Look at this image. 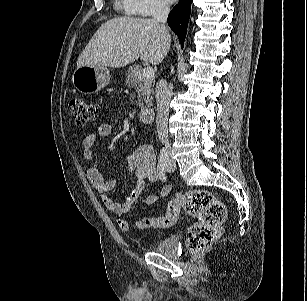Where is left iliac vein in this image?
Returning <instances> with one entry per match:
<instances>
[{"instance_id": "4c4485c4", "label": "left iliac vein", "mask_w": 307, "mask_h": 301, "mask_svg": "<svg viewBox=\"0 0 307 301\" xmlns=\"http://www.w3.org/2000/svg\"><path fill=\"white\" fill-rule=\"evenodd\" d=\"M174 169H175V162L171 158V153H169V162L167 165V171L171 173L174 171Z\"/></svg>"}]
</instances>
